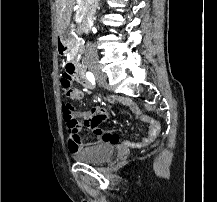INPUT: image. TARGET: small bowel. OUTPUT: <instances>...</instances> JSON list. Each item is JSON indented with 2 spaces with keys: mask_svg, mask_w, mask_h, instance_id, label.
I'll return each mask as SVG.
<instances>
[{
  "mask_svg": "<svg viewBox=\"0 0 217 202\" xmlns=\"http://www.w3.org/2000/svg\"><path fill=\"white\" fill-rule=\"evenodd\" d=\"M69 66V64L67 65ZM62 90H69L66 96L72 100H81L83 93L77 88V85H62ZM118 101H109L108 108L114 109L118 106ZM122 106L129 105L130 109L135 112L137 119L141 121L145 128V135L136 142L123 140L112 131H104L99 128V125L107 118V106L96 104L88 110L73 111L74 117L83 120L84 124L89 127L98 141H103L110 144L119 145L122 150L143 148L154 142L160 132V124L152 117L141 114L136 105L129 101H122ZM81 131H69L68 141H80ZM84 142H70V147H84Z\"/></svg>",
  "mask_w": 217,
  "mask_h": 202,
  "instance_id": "obj_1",
  "label": "small bowel"
}]
</instances>
